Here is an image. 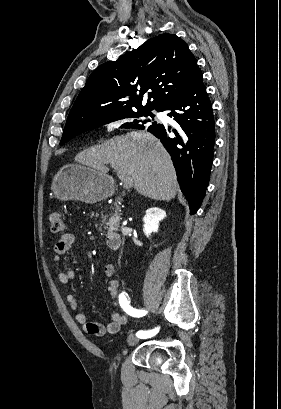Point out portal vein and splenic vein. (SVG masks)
<instances>
[{
  "label": "portal vein and splenic vein",
  "mask_w": 281,
  "mask_h": 409,
  "mask_svg": "<svg viewBox=\"0 0 281 409\" xmlns=\"http://www.w3.org/2000/svg\"><path fill=\"white\" fill-rule=\"evenodd\" d=\"M118 172V176L120 178V180H122L123 184H124V190L125 191H130L131 189L134 188L135 183L133 181L132 176H128V174H126V172H124V170H119V168H117Z\"/></svg>",
  "instance_id": "portal-vein-and-splenic-vein-1"
}]
</instances>
